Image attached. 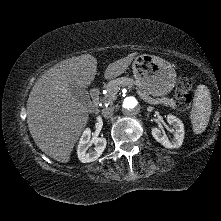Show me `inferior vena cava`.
Here are the masks:
<instances>
[{
  "instance_id": "inferior-vena-cava-1",
  "label": "inferior vena cava",
  "mask_w": 221,
  "mask_h": 221,
  "mask_svg": "<svg viewBox=\"0 0 221 221\" xmlns=\"http://www.w3.org/2000/svg\"><path fill=\"white\" fill-rule=\"evenodd\" d=\"M115 107L114 106H109V107H106L102 110V115L105 117V118H109L113 115V111H114Z\"/></svg>"
}]
</instances>
